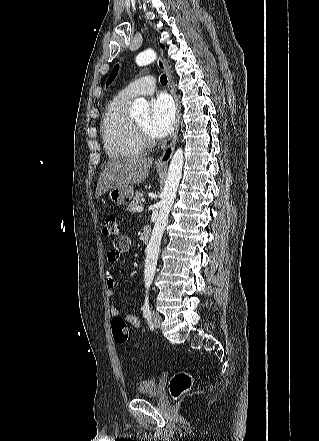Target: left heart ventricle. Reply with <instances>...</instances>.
Returning a JSON list of instances; mask_svg holds the SVG:
<instances>
[{
  "label": "left heart ventricle",
  "instance_id": "left-heart-ventricle-1",
  "mask_svg": "<svg viewBox=\"0 0 319 441\" xmlns=\"http://www.w3.org/2000/svg\"><path fill=\"white\" fill-rule=\"evenodd\" d=\"M149 117H145L141 120H139L137 123L146 131L149 133Z\"/></svg>",
  "mask_w": 319,
  "mask_h": 441
}]
</instances>
